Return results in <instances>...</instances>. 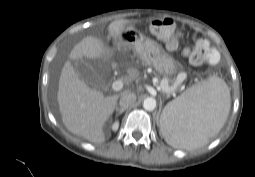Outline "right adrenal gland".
Masks as SVG:
<instances>
[{"label":"right adrenal gland","mask_w":255,"mask_h":177,"mask_svg":"<svg viewBox=\"0 0 255 177\" xmlns=\"http://www.w3.org/2000/svg\"><path fill=\"white\" fill-rule=\"evenodd\" d=\"M125 110H126V109H124V108H118V107H117V108H116V115H117V116L121 115L123 112H125Z\"/></svg>","instance_id":"1"}]
</instances>
